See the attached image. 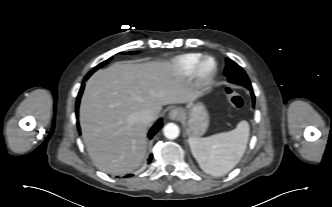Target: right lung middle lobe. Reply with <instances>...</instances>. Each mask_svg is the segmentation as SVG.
Wrapping results in <instances>:
<instances>
[{
  "mask_svg": "<svg viewBox=\"0 0 332 207\" xmlns=\"http://www.w3.org/2000/svg\"><path fill=\"white\" fill-rule=\"evenodd\" d=\"M123 54H124V52H122ZM137 52H129V54H136ZM112 59V57L111 58H109L108 60H106V61H104V62H102V63H100L99 65H97L96 67H94L87 75H86V78H89V76L93 73V72H95L97 69H99V68H101V67H103L105 64H107L110 60Z\"/></svg>",
  "mask_w": 332,
  "mask_h": 207,
  "instance_id": "dd1d6c3e",
  "label": "right lung middle lobe"
}]
</instances>
